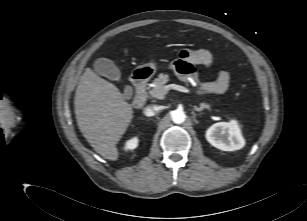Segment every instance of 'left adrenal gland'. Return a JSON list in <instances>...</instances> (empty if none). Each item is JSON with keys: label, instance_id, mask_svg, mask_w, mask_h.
I'll use <instances>...</instances> for the list:
<instances>
[{"label": "left adrenal gland", "instance_id": "a2214340", "mask_svg": "<svg viewBox=\"0 0 307 221\" xmlns=\"http://www.w3.org/2000/svg\"><path fill=\"white\" fill-rule=\"evenodd\" d=\"M204 109L210 110V106L205 104V103H201L200 107L194 106V110L197 111V112H200V111H202Z\"/></svg>", "mask_w": 307, "mask_h": 221}]
</instances>
